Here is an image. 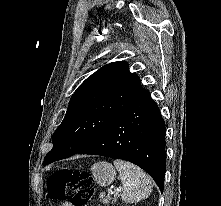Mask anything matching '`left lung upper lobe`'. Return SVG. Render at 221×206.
I'll return each instance as SVG.
<instances>
[{"label": "left lung upper lobe", "instance_id": "1", "mask_svg": "<svg viewBox=\"0 0 221 206\" xmlns=\"http://www.w3.org/2000/svg\"><path fill=\"white\" fill-rule=\"evenodd\" d=\"M146 90L126 62L104 65L73 94L66 115L52 137L43 165L70 157L93 142Z\"/></svg>", "mask_w": 221, "mask_h": 206}]
</instances>
